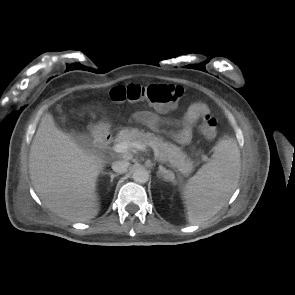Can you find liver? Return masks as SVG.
I'll list each match as a JSON object with an SVG mask.
<instances>
[{"label":"liver","mask_w":295,"mask_h":295,"mask_svg":"<svg viewBox=\"0 0 295 295\" xmlns=\"http://www.w3.org/2000/svg\"><path fill=\"white\" fill-rule=\"evenodd\" d=\"M105 161L59 130L51 114H45L29 154L33 187L45 205L61 218L85 222L100 208L97 178Z\"/></svg>","instance_id":"obj_1"}]
</instances>
